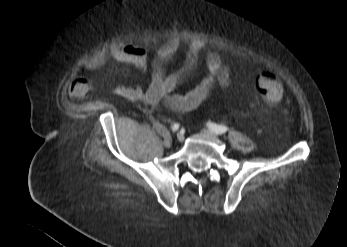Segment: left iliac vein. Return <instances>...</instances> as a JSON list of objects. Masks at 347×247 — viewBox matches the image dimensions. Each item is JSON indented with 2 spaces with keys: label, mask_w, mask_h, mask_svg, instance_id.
<instances>
[{
  "label": "left iliac vein",
  "mask_w": 347,
  "mask_h": 247,
  "mask_svg": "<svg viewBox=\"0 0 347 247\" xmlns=\"http://www.w3.org/2000/svg\"><path fill=\"white\" fill-rule=\"evenodd\" d=\"M201 133H202L203 135H205V136H211V137H216V136H217L214 132H212V131H210V130H207V129H203V130L201 131Z\"/></svg>",
  "instance_id": "left-iliac-vein-1"
}]
</instances>
